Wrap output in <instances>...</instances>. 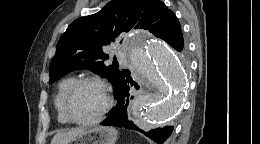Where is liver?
I'll list each match as a JSON object with an SVG mask.
<instances>
[{"label":"liver","instance_id":"6515ba94","mask_svg":"<svg viewBox=\"0 0 260 144\" xmlns=\"http://www.w3.org/2000/svg\"><path fill=\"white\" fill-rule=\"evenodd\" d=\"M84 128H74L65 132L57 133L51 140V144H68L73 138L82 134Z\"/></svg>","mask_w":260,"mask_h":144}]
</instances>
